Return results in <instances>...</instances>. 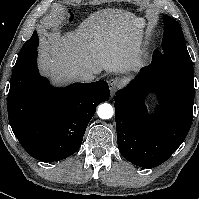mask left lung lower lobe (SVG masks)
<instances>
[{"label": "left lung lower lobe", "instance_id": "1", "mask_svg": "<svg viewBox=\"0 0 199 199\" xmlns=\"http://www.w3.org/2000/svg\"><path fill=\"white\" fill-rule=\"evenodd\" d=\"M149 92L159 96L154 114H148L145 107ZM194 96V70L153 58L151 65L114 98L117 143L122 156L145 168L165 162L190 130Z\"/></svg>", "mask_w": 199, "mask_h": 199}]
</instances>
